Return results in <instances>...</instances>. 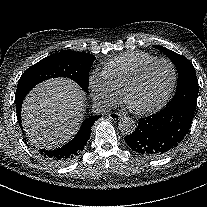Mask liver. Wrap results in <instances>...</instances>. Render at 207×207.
<instances>
[{"instance_id": "6515ba94", "label": "liver", "mask_w": 207, "mask_h": 207, "mask_svg": "<svg viewBox=\"0 0 207 207\" xmlns=\"http://www.w3.org/2000/svg\"><path fill=\"white\" fill-rule=\"evenodd\" d=\"M85 95L69 78H51L37 84L25 97L21 110L30 143L52 150L69 142L83 121Z\"/></svg>"}]
</instances>
